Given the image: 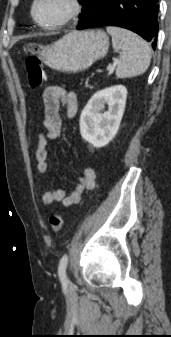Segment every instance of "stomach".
<instances>
[{"label":"stomach","mask_w":171,"mask_h":337,"mask_svg":"<svg viewBox=\"0 0 171 337\" xmlns=\"http://www.w3.org/2000/svg\"><path fill=\"white\" fill-rule=\"evenodd\" d=\"M109 37L102 30L71 31L49 46L28 44L27 50L35 52L54 70L77 73L106 56Z\"/></svg>","instance_id":"stomach-1"}]
</instances>
